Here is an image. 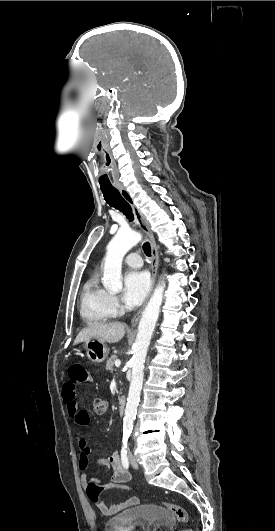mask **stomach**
<instances>
[{
    "label": "stomach",
    "instance_id": "0dacf381",
    "mask_svg": "<svg viewBox=\"0 0 275 531\" xmlns=\"http://www.w3.org/2000/svg\"><path fill=\"white\" fill-rule=\"evenodd\" d=\"M86 355L92 363H103L109 355V351L102 341L98 339H90L85 343ZM69 358L71 361H80L82 358V353L80 350H71L69 353Z\"/></svg>",
    "mask_w": 275,
    "mask_h": 531
}]
</instances>
